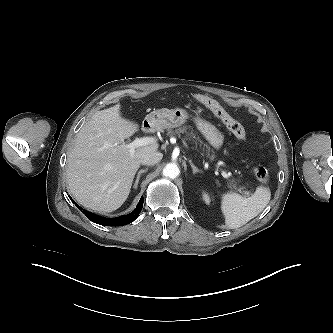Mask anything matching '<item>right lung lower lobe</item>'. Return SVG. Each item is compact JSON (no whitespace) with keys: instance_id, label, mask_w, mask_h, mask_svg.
Returning <instances> with one entry per match:
<instances>
[{"instance_id":"obj_1","label":"right lung lower lobe","mask_w":333,"mask_h":333,"mask_svg":"<svg viewBox=\"0 0 333 333\" xmlns=\"http://www.w3.org/2000/svg\"><path fill=\"white\" fill-rule=\"evenodd\" d=\"M69 198L87 216V218L89 220H91L92 222L97 223L99 225H103V226L104 225L123 226V225H127L129 223H132L138 217V215L141 212L142 207H143V198H141L136 209L134 211H132L130 214L123 215L120 217H115V218H105V217L95 215L87 210L82 209L74 202V200H72V198L70 196H69Z\"/></svg>"}]
</instances>
